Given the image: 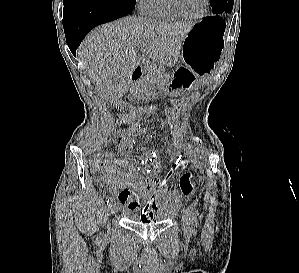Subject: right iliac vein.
I'll use <instances>...</instances> for the list:
<instances>
[{"label":"right iliac vein","mask_w":299,"mask_h":273,"mask_svg":"<svg viewBox=\"0 0 299 273\" xmlns=\"http://www.w3.org/2000/svg\"><path fill=\"white\" fill-rule=\"evenodd\" d=\"M118 211V204L116 201H113V203L110 206V213L113 215Z\"/></svg>","instance_id":"obj_1"}]
</instances>
